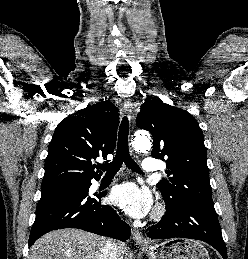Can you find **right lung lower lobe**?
<instances>
[{
    "instance_id": "98d812e1",
    "label": "right lung lower lobe",
    "mask_w": 248,
    "mask_h": 259,
    "mask_svg": "<svg viewBox=\"0 0 248 259\" xmlns=\"http://www.w3.org/2000/svg\"><path fill=\"white\" fill-rule=\"evenodd\" d=\"M89 187L42 191L29 246L47 232L63 228H78L126 241L130 237L129 226L112 207L99 203L105 193L89 196Z\"/></svg>"
}]
</instances>
